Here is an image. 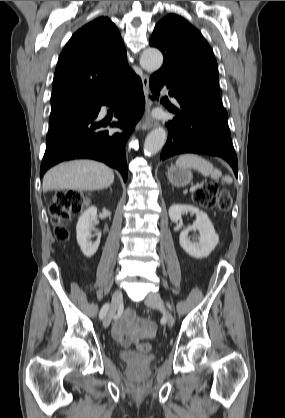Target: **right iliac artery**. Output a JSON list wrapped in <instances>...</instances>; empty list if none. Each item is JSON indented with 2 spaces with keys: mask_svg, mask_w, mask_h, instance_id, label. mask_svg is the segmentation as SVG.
<instances>
[{
  "mask_svg": "<svg viewBox=\"0 0 285 418\" xmlns=\"http://www.w3.org/2000/svg\"><path fill=\"white\" fill-rule=\"evenodd\" d=\"M109 306H110L109 303H106V304L103 305V307L101 308V311L99 313V318L100 319H103L105 317V315H106V313L109 309ZM117 316H119V313L117 314Z\"/></svg>",
  "mask_w": 285,
  "mask_h": 418,
  "instance_id": "1",
  "label": "right iliac artery"
}]
</instances>
